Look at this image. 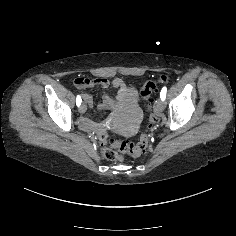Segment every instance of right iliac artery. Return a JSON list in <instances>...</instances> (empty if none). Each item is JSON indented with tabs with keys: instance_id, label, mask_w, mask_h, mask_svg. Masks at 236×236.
I'll return each mask as SVG.
<instances>
[{
	"instance_id": "1",
	"label": "right iliac artery",
	"mask_w": 236,
	"mask_h": 236,
	"mask_svg": "<svg viewBox=\"0 0 236 236\" xmlns=\"http://www.w3.org/2000/svg\"><path fill=\"white\" fill-rule=\"evenodd\" d=\"M82 99L81 97L78 95L76 98V105L79 107L81 105Z\"/></svg>"
}]
</instances>
